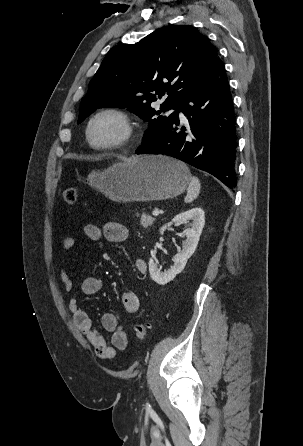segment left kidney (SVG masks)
I'll list each match as a JSON object with an SVG mask.
<instances>
[{"mask_svg":"<svg viewBox=\"0 0 303 446\" xmlns=\"http://www.w3.org/2000/svg\"><path fill=\"white\" fill-rule=\"evenodd\" d=\"M191 221L190 228L185 231L186 240L182 243V250L173 258L174 265L167 271H161L158 263L153 259L149 260V273L153 281L160 285H164L175 278V276L182 272L185 268L188 259L195 252L200 235L205 224L204 211L201 208H192L188 211L176 215L172 222L162 226L160 234L163 235L167 227L173 223L181 224L183 222Z\"/></svg>","mask_w":303,"mask_h":446,"instance_id":"left-kidney-1","label":"left kidney"}]
</instances>
